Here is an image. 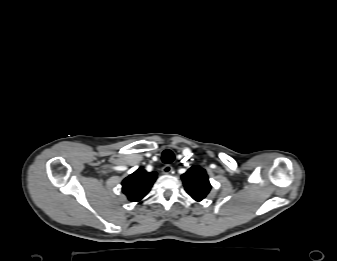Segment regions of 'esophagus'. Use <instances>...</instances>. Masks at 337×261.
Segmentation results:
<instances>
[{
    "label": "esophagus",
    "instance_id": "obj_1",
    "mask_svg": "<svg viewBox=\"0 0 337 261\" xmlns=\"http://www.w3.org/2000/svg\"><path fill=\"white\" fill-rule=\"evenodd\" d=\"M172 171H173V167L169 164L163 166V168H162V172L164 174H170V173H172Z\"/></svg>",
    "mask_w": 337,
    "mask_h": 261
}]
</instances>
